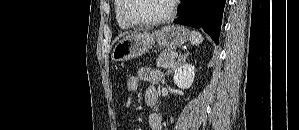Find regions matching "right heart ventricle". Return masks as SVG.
<instances>
[{
  "label": "right heart ventricle",
  "mask_w": 299,
  "mask_h": 130,
  "mask_svg": "<svg viewBox=\"0 0 299 130\" xmlns=\"http://www.w3.org/2000/svg\"><path fill=\"white\" fill-rule=\"evenodd\" d=\"M124 0H115L114 1V11H115V18H116V22L117 25L121 28V29H130L133 27V25H131L130 23H128L122 14V10H123V5H124Z\"/></svg>",
  "instance_id": "obj_1"
}]
</instances>
